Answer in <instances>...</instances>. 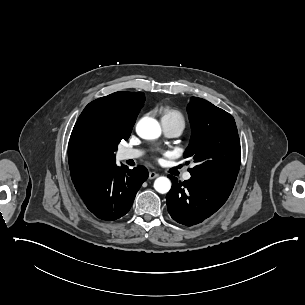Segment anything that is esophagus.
Masks as SVG:
<instances>
[{"label":"esophagus","mask_w":305,"mask_h":305,"mask_svg":"<svg viewBox=\"0 0 305 305\" xmlns=\"http://www.w3.org/2000/svg\"><path fill=\"white\" fill-rule=\"evenodd\" d=\"M159 175L157 174V173H155V172H150L149 173V179H154V178H156V177H158Z\"/></svg>","instance_id":"esophagus-1"}]
</instances>
